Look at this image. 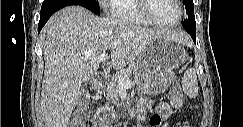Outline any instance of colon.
<instances>
[{"label": "colon", "mask_w": 243, "mask_h": 127, "mask_svg": "<svg viewBox=\"0 0 243 127\" xmlns=\"http://www.w3.org/2000/svg\"><path fill=\"white\" fill-rule=\"evenodd\" d=\"M171 97L183 99L180 87L175 84L170 91ZM87 108L85 106L78 107L74 113L73 125L74 127H84L85 119L87 117Z\"/></svg>", "instance_id": "colon-1"}]
</instances>
